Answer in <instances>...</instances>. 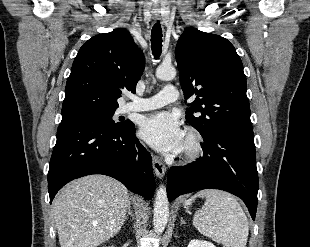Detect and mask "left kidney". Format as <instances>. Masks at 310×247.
Returning <instances> with one entry per match:
<instances>
[{
	"label": "left kidney",
	"instance_id": "left-kidney-1",
	"mask_svg": "<svg viewBox=\"0 0 310 247\" xmlns=\"http://www.w3.org/2000/svg\"><path fill=\"white\" fill-rule=\"evenodd\" d=\"M188 247H216L214 244L208 241L191 240Z\"/></svg>",
	"mask_w": 310,
	"mask_h": 247
}]
</instances>
